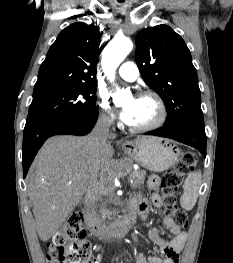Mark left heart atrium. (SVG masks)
I'll list each match as a JSON object with an SVG mask.
<instances>
[{"mask_svg": "<svg viewBox=\"0 0 233 263\" xmlns=\"http://www.w3.org/2000/svg\"><path fill=\"white\" fill-rule=\"evenodd\" d=\"M121 120L131 125L134 120L135 109H134V101L131 102L129 105L125 106L119 113Z\"/></svg>", "mask_w": 233, "mask_h": 263, "instance_id": "39dd6f15", "label": "left heart atrium"}]
</instances>
